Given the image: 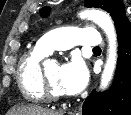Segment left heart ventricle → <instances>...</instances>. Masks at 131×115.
<instances>
[{
  "mask_svg": "<svg viewBox=\"0 0 131 115\" xmlns=\"http://www.w3.org/2000/svg\"><path fill=\"white\" fill-rule=\"evenodd\" d=\"M60 67L58 65H52L45 69V74L48 79L51 90L55 94H59L58 88V74Z\"/></svg>",
  "mask_w": 131,
  "mask_h": 115,
  "instance_id": "obj_1",
  "label": "left heart ventricle"
}]
</instances>
